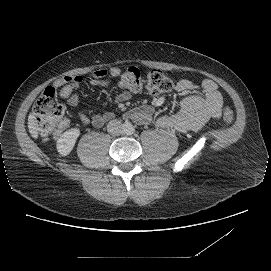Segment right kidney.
Returning <instances> with one entry per match:
<instances>
[{
	"instance_id": "obj_1",
	"label": "right kidney",
	"mask_w": 271,
	"mask_h": 271,
	"mask_svg": "<svg viewBox=\"0 0 271 271\" xmlns=\"http://www.w3.org/2000/svg\"><path fill=\"white\" fill-rule=\"evenodd\" d=\"M79 135L78 129L66 131L58 141V150L66 155L73 148L74 142Z\"/></svg>"
}]
</instances>
